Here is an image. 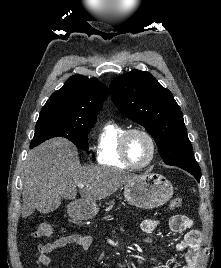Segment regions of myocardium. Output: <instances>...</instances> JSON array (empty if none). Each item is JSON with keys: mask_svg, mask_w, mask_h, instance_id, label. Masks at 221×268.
<instances>
[{"mask_svg": "<svg viewBox=\"0 0 221 268\" xmlns=\"http://www.w3.org/2000/svg\"><path fill=\"white\" fill-rule=\"evenodd\" d=\"M134 133H141V134H143L149 140L150 145H151L150 157L147 160V162H145L144 164H141V165L134 164L130 160V158L128 156V152H127V142H128V139ZM119 152H120L121 159L123 160V162L129 168L140 170V169H144V168L148 167L154 161L155 156H156V153H157V145H156V141H155L153 135L149 131H147L144 128L134 127V128L127 129L122 134V136L120 138V143H119Z\"/></svg>", "mask_w": 221, "mask_h": 268, "instance_id": "myocardium-1", "label": "myocardium"}]
</instances>
